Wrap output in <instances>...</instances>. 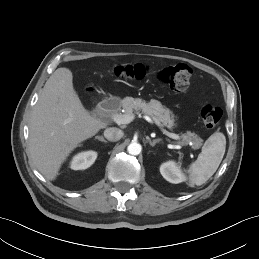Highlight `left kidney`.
<instances>
[{"label":"left kidney","instance_id":"obj_1","mask_svg":"<svg viewBox=\"0 0 259 259\" xmlns=\"http://www.w3.org/2000/svg\"><path fill=\"white\" fill-rule=\"evenodd\" d=\"M160 173L170 183L178 184L186 180L185 174L174 161H167L160 166Z\"/></svg>","mask_w":259,"mask_h":259}]
</instances>
